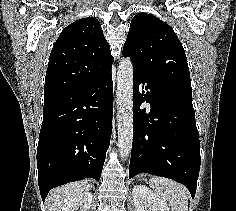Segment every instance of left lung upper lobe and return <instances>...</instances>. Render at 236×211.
Segmentation results:
<instances>
[{
  "label": "left lung upper lobe",
  "mask_w": 236,
  "mask_h": 211,
  "mask_svg": "<svg viewBox=\"0 0 236 211\" xmlns=\"http://www.w3.org/2000/svg\"><path fill=\"white\" fill-rule=\"evenodd\" d=\"M123 56L130 57L134 72L192 100L185 51L173 29L160 19L147 13L135 15L123 46Z\"/></svg>",
  "instance_id": "obj_1"
}]
</instances>
